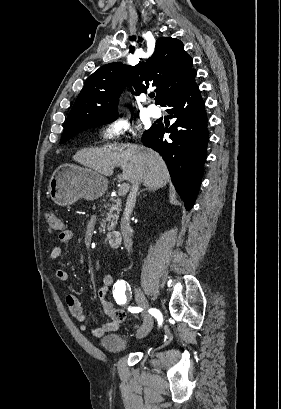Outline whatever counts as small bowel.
<instances>
[{
  "mask_svg": "<svg viewBox=\"0 0 281 409\" xmlns=\"http://www.w3.org/2000/svg\"><path fill=\"white\" fill-rule=\"evenodd\" d=\"M72 239L73 232L71 230H65L60 233L58 243L54 246L50 254V259L54 261L60 257L65 247L72 242ZM55 275L57 280L60 282H67L69 279L67 271L63 269H58ZM113 285L114 278L112 274L107 273L102 279L101 287H99L97 290V297L101 303L105 315L109 318V320L97 326H91L85 322L86 317L78 297L74 294L66 295L65 302L68 310L74 320L79 323V329L81 332L88 333L94 337H102L118 330L121 321L114 319V313L118 309L114 307L113 302L109 298V293L111 292Z\"/></svg>",
  "mask_w": 281,
  "mask_h": 409,
  "instance_id": "obj_1",
  "label": "small bowel"
}]
</instances>
